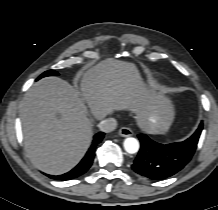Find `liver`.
Segmentation results:
<instances>
[{
    "mask_svg": "<svg viewBox=\"0 0 218 210\" xmlns=\"http://www.w3.org/2000/svg\"><path fill=\"white\" fill-rule=\"evenodd\" d=\"M96 119L118 110L135 114L148 133L167 130L174 119L171 101L149 90L133 63L108 58L86 71L81 92L58 77L36 82L20 109L25 150L32 163L52 175L71 170L90 146Z\"/></svg>",
    "mask_w": 218,
    "mask_h": 210,
    "instance_id": "6515ba94",
    "label": "liver"
}]
</instances>
